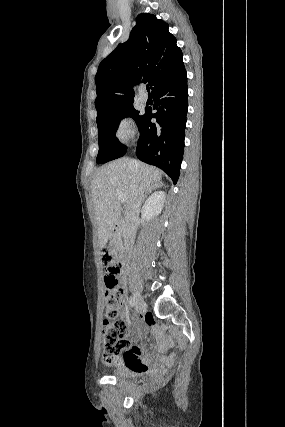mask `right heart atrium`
I'll list each match as a JSON object with an SVG mask.
<instances>
[{
  "instance_id": "right-heart-atrium-1",
  "label": "right heart atrium",
  "mask_w": 285,
  "mask_h": 427,
  "mask_svg": "<svg viewBox=\"0 0 285 427\" xmlns=\"http://www.w3.org/2000/svg\"><path fill=\"white\" fill-rule=\"evenodd\" d=\"M134 133V126L132 121L129 118H123L119 121L116 137L122 141L126 142Z\"/></svg>"
}]
</instances>
